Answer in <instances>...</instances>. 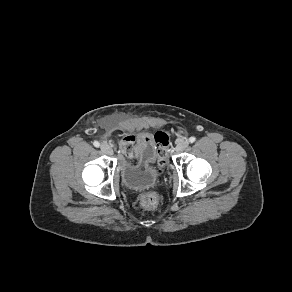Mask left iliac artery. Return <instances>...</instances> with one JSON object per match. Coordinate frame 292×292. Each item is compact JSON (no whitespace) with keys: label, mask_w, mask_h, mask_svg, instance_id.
I'll return each instance as SVG.
<instances>
[{"label":"left iliac artery","mask_w":292,"mask_h":292,"mask_svg":"<svg viewBox=\"0 0 292 292\" xmlns=\"http://www.w3.org/2000/svg\"><path fill=\"white\" fill-rule=\"evenodd\" d=\"M195 141H196V138H195L194 136H192V137L189 138V142H190V143H193V142H195Z\"/></svg>","instance_id":"obj_1"}]
</instances>
